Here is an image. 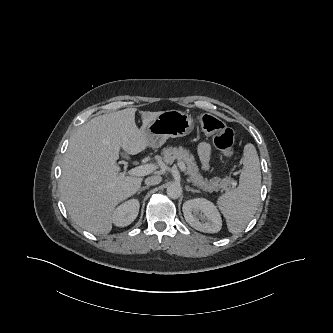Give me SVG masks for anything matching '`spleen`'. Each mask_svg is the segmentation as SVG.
Segmentation results:
<instances>
[{
	"mask_svg": "<svg viewBox=\"0 0 333 333\" xmlns=\"http://www.w3.org/2000/svg\"><path fill=\"white\" fill-rule=\"evenodd\" d=\"M261 170L257 151L253 144L244 147L243 169L237 188L221 195L217 204L232 234L244 230L256 213L260 203Z\"/></svg>",
	"mask_w": 333,
	"mask_h": 333,
	"instance_id": "3e777b00",
	"label": "spleen"
}]
</instances>
